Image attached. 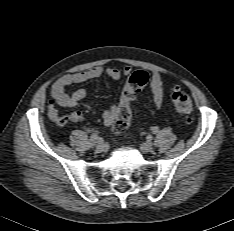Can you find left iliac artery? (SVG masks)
Listing matches in <instances>:
<instances>
[{
	"label": "left iliac artery",
	"instance_id": "44dca946",
	"mask_svg": "<svg viewBox=\"0 0 234 231\" xmlns=\"http://www.w3.org/2000/svg\"><path fill=\"white\" fill-rule=\"evenodd\" d=\"M152 132L154 133V134H156V133H158L159 132V127H157V126H154V127H152Z\"/></svg>",
	"mask_w": 234,
	"mask_h": 231
}]
</instances>
